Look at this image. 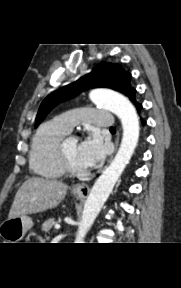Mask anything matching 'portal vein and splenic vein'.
<instances>
[{
  "label": "portal vein and splenic vein",
  "mask_w": 181,
  "mask_h": 288,
  "mask_svg": "<svg viewBox=\"0 0 181 288\" xmlns=\"http://www.w3.org/2000/svg\"><path fill=\"white\" fill-rule=\"evenodd\" d=\"M55 229H57V230L60 229V225H59V224H56V225H55Z\"/></svg>",
  "instance_id": "18ae733b"
}]
</instances>
